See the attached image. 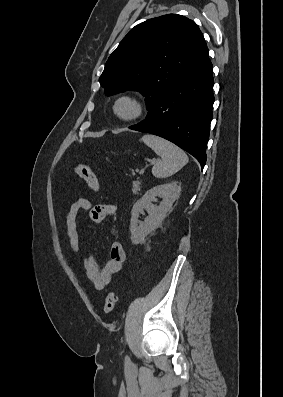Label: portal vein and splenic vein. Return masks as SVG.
Here are the masks:
<instances>
[{
	"label": "portal vein and splenic vein",
	"instance_id": "obj_1",
	"mask_svg": "<svg viewBox=\"0 0 283 397\" xmlns=\"http://www.w3.org/2000/svg\"><path fill=\"white\" fill-rule=\"evenodd\" d=\"M154 163H155V161H152V162H151V164H154ZM144 171H145V169H141L140 172H139V174H140V175L144 174Z\"/></svg>",
	"mask_w": 283,
	"mask_h": 397
}]
</instances>
